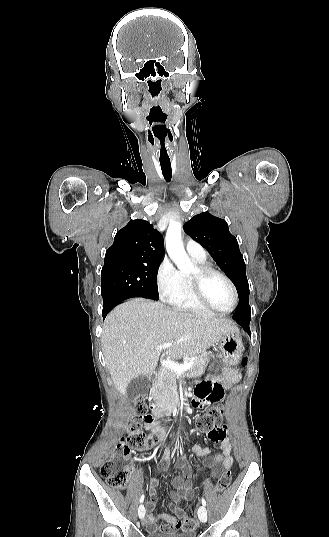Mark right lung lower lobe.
I'll list each match as a JSON object with an SVG mask.
<instances>
[{
    "label": "right lung lower lobe",
    "mask_w": 329,
    "mask_h": 537,
    "mask_svg": "<svg viewBox=\"0 0 329 537\" xmlns=\"http://www.w3.org/2000/svg\"><path fill=\"white\" fill-rule=\"evenodd\" d=\"M131 296L129 295H122V294H117V293H112V294H109L107 296H105L103 298V311H102V316H103V319L106 317V315L111 311V309L119 304L121 301L127 299V298H130Z\"/></svg>",
    "instance_id": "obj_1"
}]
</instances>
